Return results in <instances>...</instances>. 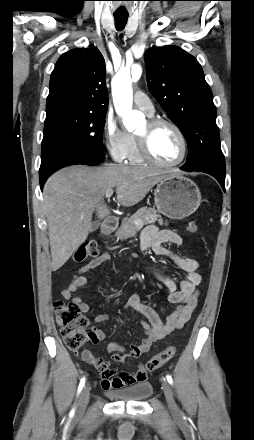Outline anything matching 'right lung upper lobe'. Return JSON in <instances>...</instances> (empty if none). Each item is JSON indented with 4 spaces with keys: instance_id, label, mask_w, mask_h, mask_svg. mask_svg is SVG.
I'll list each match as a JSON object with an SVG mask.
<instances>
[{
    "instance_id": "obj_1",
    "label": "right lung upper lobe",
    "mask_w": 254,
    "mask_h": 440,
    "mask_svg": "<svg viewBox=\"0 0 254 440\" xmlns=\"http://www.w3.org/2000/svg\"><path fill=\"white\" fill-rule=\"evenodd\" d=\"M105 71L104 58L94 46L64 53L50 77L46 110L71 106L91 112H106L108 92Z\"/></svg>"
}]
</instances>
